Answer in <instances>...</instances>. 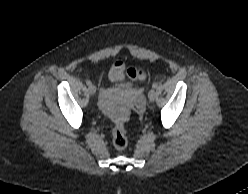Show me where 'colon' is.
Here are the masks:
<instances>
[{"instance_id":"obj_1","label":"colon","mask_w":248,"mask_h":194,"mask_svg":"<svg viewBox=\"0 0 248 194\" xmlns=\"http://www.w3.org/2000/svg\"><path fill=\"white\" fill-rule=\"evenodd\" d=\"M128 121V119H127ZM112 142L116 150L123 151L128 144L124 123L116 124L112 130Z\"/></svg>"}]
</instances>
